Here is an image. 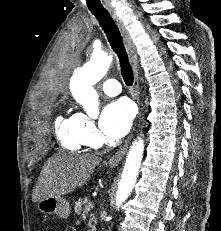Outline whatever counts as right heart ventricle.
Returning <instances> with one entry per match:
<instances>
[{"instance_id": "right-heart-ventricle-1", "label": "right heart ventricle", "mask_w": 221, "mask_h": 231, "mask_svg": "<svg viewBox=\"0 0 221 231\" xmlns=\"http://www.w3.org/2000/svg\"><path fill=\"white\" fill-rule=\"evenodd\" d=\"M57 135L61 145L66 149L78 151L85 145L81 137L77 114H69L59 118Z\"/></svg>"}]
</instances>
